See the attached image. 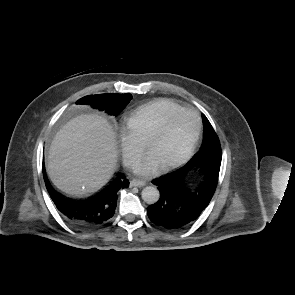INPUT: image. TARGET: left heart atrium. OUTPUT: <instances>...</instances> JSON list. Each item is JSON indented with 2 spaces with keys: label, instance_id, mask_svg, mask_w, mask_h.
<instances>
[{
  "label": "left heart atrium",
  "instance_id": "39dd6f15",
  "mask_svg": "<svg viewBox=\"0 0 295 295\" xmlns=\"http://www.w3.org/2000/svg\"><path fill=\"white\" fill-rule=\"evenodd\" d=\"M159 168L160 165L154 159V157L148 155L135 167V171L141 175H149L151 173L156 172Z\"/></svg>",
  "mask_w": 295,
  "mask_h": 295
}]
</instances>
